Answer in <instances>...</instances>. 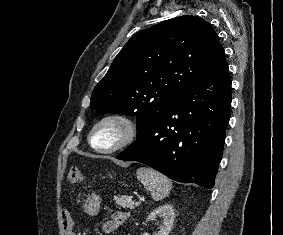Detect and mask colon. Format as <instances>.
I'll use <instances>...</instances> for the list:
<instances>
[{
  "mask_svg": "<svg viewBox=\"0 0 283 235\" xmlns=\"http://www.w3.org/2000/svg\"><path fill=\"white\" fill-rule=\"evenodd\" d=\"M67 177H68V181L70 183H81L84 180V176H83L81 170L77 167H71L68 170V176Z\"/></svg>",
  "mask_w": 283,
  "mask_h": 235,
  "instance_id": "1",
  "label": "colon"
}]
</instances>
